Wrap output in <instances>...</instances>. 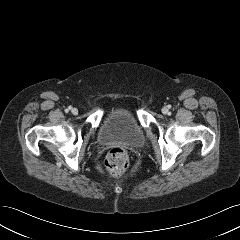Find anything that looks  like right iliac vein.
Masks as SVG:
<instances>
[{
    "label": "right iliac vein",
    "instance_id": "1",
    "mask_svg": "<svg viewBox=\"0 0 240 240\" xmlns=\"http://www.w3.org/2000/svg\"><path fill=\"white\" fill-rule=\"evenodd\" d=\"M72 114L77 115L78 114V110L76 108H72L71 110Z\"/></svg>",
    "mask_w": 240,
    "mask_h": 240
}]
</instances>
